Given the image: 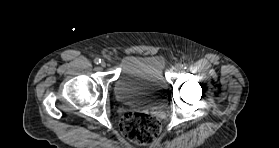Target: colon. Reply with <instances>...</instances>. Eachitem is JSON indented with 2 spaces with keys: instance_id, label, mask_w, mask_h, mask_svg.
Returning <instances> with one entry per match:
<instances>
[{
  "instance_id": "5ec220e1",
  "label": "colon",
  "mask_w": 279,
  "mask_h": 148,
  "mask_svg": "<svg viewBox=\"0 0 279 148\" xmlns=\"http://www.w3.org/2000/svg\"><path fill=\"white\" fill-rule=\"evenodd\" d=\"M122 133L137 144H152L161 132L160 121L153 115L142 112H128L121 121Z\"/></svg>"
}]
</instances>
